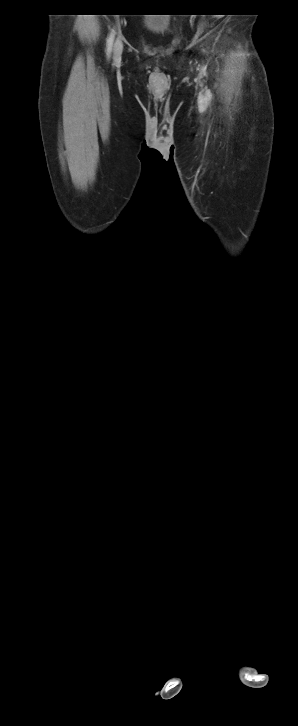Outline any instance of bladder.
Instances as JSON below:
<instances>
[{"label":"bladder","mask_w":298,"mask_h":726,"mask_svg":"<svg viewBox=\"0 0 298 726\" xmlns=\"http://www.w3.org/2000/svg\"><path fill=\"white\" fill-rule=\"evenodd\" d=\"M171 20L167 17L163 16H157V17H151L147 18L144 21V28L148 31L155 32V33H163L168 30L170 26Z\"/></svg>","instance_id":"obj_1"}]
</instances>
